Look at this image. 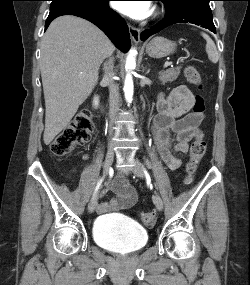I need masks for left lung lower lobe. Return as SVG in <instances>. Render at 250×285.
Instances as JSON below:
<instances>
[{
	"mask_svg": "<svg viewBox=\"0 0 250 285\" xmlns=\"http://www.w3.org/2000/svg\"><path fill=\"white\" fill-rule=\"evenodd\" d=\"M176 23H192L195 25H199L203 28L209 29L213 33H216V29L213 23L212 14L201 12V11H190L186 12L180 16L176 17H168L166 16L164 20H162L155 27L145 30L141 33V40L145 41L151 35L156 34L163 30L164 28L171 26Z\"/></svg>",
	"mask_w": 250,
	"mask_h": 285,
	"instance_id": "0a47b994",
	"label": "left lung lower lobe"
}]
</instances>
